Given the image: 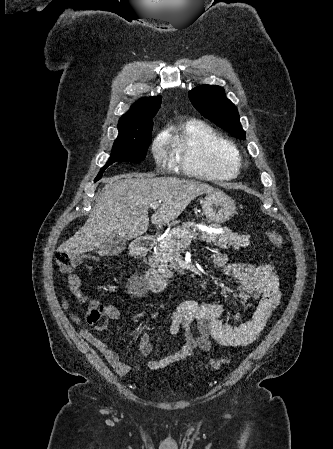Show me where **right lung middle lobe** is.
I'll use <instances>...</instances> for the list:
<instances>
[{"label":"right lung middle lobe","mask_w":333,"mask_h":449,"mask_svg":"<svg viewBox=\"0 0 333 449\" xmlns=\"http://www.w3.org/2000/svg\"><path fill=\"white\" fill-rule=\"evenodd\" d=\"M153 121L149 119L142 129L141 136L128 139H116L112 148L111 156L107 164L101 168L95 182L102 177V173L108 165L114 162L140 163L146 157V151L151 144V132Z\"/></svg>","instance_id":"1"}]
</instances>
